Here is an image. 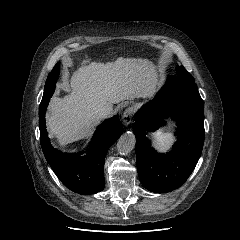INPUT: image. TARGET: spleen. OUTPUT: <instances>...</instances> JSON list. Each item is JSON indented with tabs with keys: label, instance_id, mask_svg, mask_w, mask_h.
<instances>
[{
	"label": "spleen",
	"instance_id": "1",
	"mask_svg": "<svg viewBox=\"0 0 240 240\" xmlns=\"http://www.w3.org/2000/svg\"><path fill=\"white\" fill-rule=\"evenodd\" d=\"M172 140V136L169 133H165L155 137V145L159 150L167 149L169 142Z\"/></svg>",
	"mask_w": 240,
	"mask_h": 240
}]
</instances>
